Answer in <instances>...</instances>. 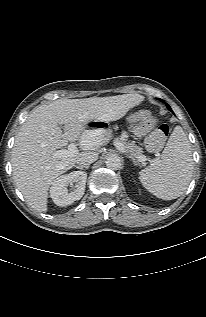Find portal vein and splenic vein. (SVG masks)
<instances>
[{
    "label": "portal vein and splenic vein",
    "mask_w": 206,
    "mask_h": 317,
    "mask_svg": "<svg viewBox=\"0 0 206 317\" xmlns=\"http://www.w3.org/2000/svg\"><path fill=\"white\" fill-rule=\"evenodd\" d=\"M82 143L84 146H91L92 141L89 140L88 138H83ZM114 145L121 151L125 152V148L121 142L118 140H114ZM76 154H78V149L76 147L75 143H70L68 145L67 149H61L57 150L53 153L54 158L62 159V158H67V157H74ZM140 162H145L147 160L146 156L141 155L137 157Z\"/></svg>",
    "instance_id": "18ae733b"
}]
</instances>
